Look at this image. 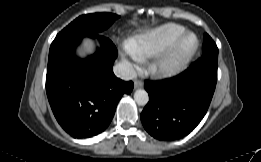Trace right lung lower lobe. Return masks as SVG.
<instances>
[{
  "mask_svg": "<svg viewBox=\"0 0 261 162\" xmlns=\"http://www.w3.org/2000/svg\"><path fill=\"white\" fill-rule=\"evenodd\" d=\"M84 36L96 37L101 48L81 60L73 52ZM116 56L113 43L99 34L55 38L52 42L47 97L56 120L72 137L88 138L104 131L122 95L132 91L133 82L120 80L112 71Z\"/></svg>",
  "mask_w": 261,
  "mask_h": 162,
  "instance_id": "98d812e1",
  "label": "right lung lower lobe"
}]
</instances>
